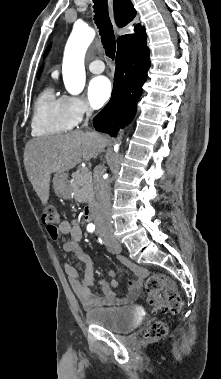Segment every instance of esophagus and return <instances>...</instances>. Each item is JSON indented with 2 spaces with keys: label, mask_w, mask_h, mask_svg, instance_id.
<instances>
[{
  "label": "esophagus",
  "mask_w": 221,
  "mask_h": 379,
  "mask_svg": "<svg viewBox=\"0 0 221 379\" xmlns=\"http://www.w3.org/2000/svg\"><path fill=\"white\" fill-rule=\"evenodd\" d=\"M108 5H109V13H110V17H111V20H112V23L114 26V30L118 34L119 33V27L115 24V21H114L113 0H108Z\"/></svg>",
  "instance_id": "34e87169"
}]
</instances>
